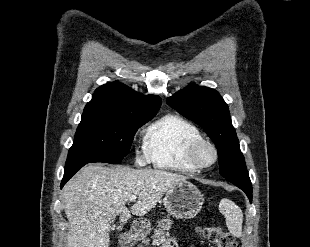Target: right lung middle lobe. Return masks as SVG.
Wrapping results in <instances>:
<instances>
[{"mask_svg": "<svg viewBox=\"0 0 310 247\" xmlns=\"http://www.w3.org/2000/svg\"><path fill=\"white\" fill-rule=\"evenodd\" d=\"M152 117L82 115L65 168L92 162L119 164L129 152L138 128Z\"/></svg>", "mask_w": 310, "mask_h": 247, "instance_id": "right-lung-middle-lobe-1", "label": "right lung middle lobe"}]
</instances>
